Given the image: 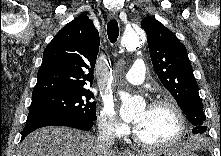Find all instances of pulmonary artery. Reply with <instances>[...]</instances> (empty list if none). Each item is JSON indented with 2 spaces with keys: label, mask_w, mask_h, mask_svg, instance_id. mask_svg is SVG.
<instances>
[{
  "label": "pulmonary artery",
  "mask_w": 221,
  "mask_h": 156,
  "mask_svg": "<svg viewBox=\"0 0 221 156\" xmlns=\"http://www.w3.org/2000/svg\"><path fill=\"white\" fill-rule=\"evenodd\" d=\"M145 64L143 60L138 59L134 62L131 69L124 75V80L130 84L139 85L145 80Z\"/></svg>",
  "instance_id": "1"
}]
</instances>
